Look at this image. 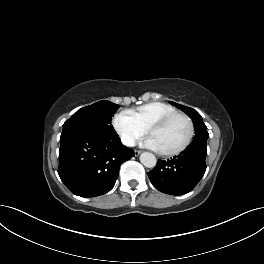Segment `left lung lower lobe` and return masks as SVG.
<instances>
[{"mask_svg": "<svg viewBox=\"0 0 264 264\" xmlns=\"http://www.w3.org/2000/svg\"><path fill=\"white\" fill-rule=\"evenodd\" d=\"M207 145L190 144L180 155L159 160L148 172L153 186L166 194L183 195L190 192L206 171Z\"/></svg>", "mask_w": 264, "mask_h": 264, "instance_id": "0a47b994", "label": "left lung lower lobe"}]
</instances>
